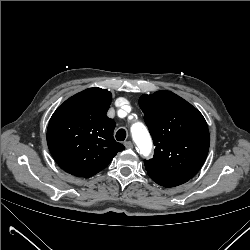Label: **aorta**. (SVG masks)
Instances as JSON below:
<instances>
[{
	"mask_svg": "<svg viewBox=\"0 0 250 250\" xmlns=\"http://www.w3.org/2000/svg\"><path fill=\"white\" fill-rule=\"evenodd\" d=\"M132 137L140 152L144 155L149 154L152 147V140L149 133L142 128L134 126L132 128Z\"/></svg>",
	"mask_w": 250,
	"mask_h": 250,
	"instance_id": "obj_1",
	"label": "aorta"
}]
</instances>
